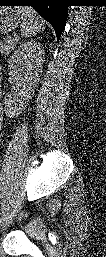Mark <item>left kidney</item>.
Instances as JSON below:
<instances>
[{
    "label": "left kidney",
    "mask_w": 106,
    "mask_h": 257,
    "mask_svg": "<svg viewBox=\"0 0 106 257\" xmlns=\"http://www.w3.org/2000/svg\"><path fill=\"white\" fill-rule=\"evenodd\" d=\"M44 49L36 41L21 44L9 60L10 83H18L16 93L6 95L5 108L10 114H18L28 100L42 72ZM23 73V75H19Z\"/></svg>",
    "instance_id": "1"
}]
</instances>
